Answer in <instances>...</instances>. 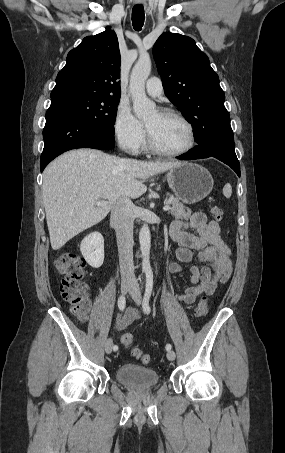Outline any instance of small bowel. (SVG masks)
<instances>
[{
  "label": "small bowel",
  "instance_id": "small-bowel-1",
  "mask_svg": "<svg viewBox=\"0 0 285 453\" xmlns=\"http://www.w3.org/2000/svg\"><path fill=\"white\" fill-rule=\"evenodd\" d=\"M170 236L178 244V262H172L168 267L171 273L181 272L180 263L193 260L201 263L191 267V285L185 287L179 300L192 304L201 294L211 295L220 284L227 282L232 272L231 249L221 238L218 222L209 221L204 213L196 212L187 221H173ZM76 315L81 321L88 319L86 314ZM140 318L139 311L128 309L124 315L117 316L114 328L124 330Z\"/></svg>",
  "mask_w": 285,
  "mask_h": 453
}]
</instances>
